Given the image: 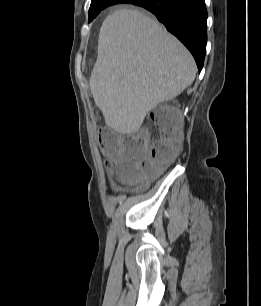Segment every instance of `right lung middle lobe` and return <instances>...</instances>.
<instances>
[{
	"mask_svg": "<svg viewBox=\"0 0 261 306\" xmlns=\"http://www.w3.org/2000/svg\"><path fill=\"white\" fill-rule=\"evenodd\" d=\"M125 1L121 0H106V1H100V2H91L90 8H89V22L94 19L103 9H105L108 6L124 3Z\"/></svg>",
	"mask_w": 261,
	"mask_h": 306,
	"instance_id": "dd1d6c3e",
	"label": "right lung middle lobe"
}]
</instances>
